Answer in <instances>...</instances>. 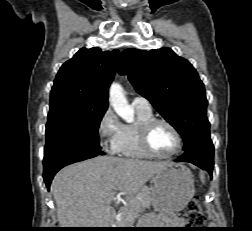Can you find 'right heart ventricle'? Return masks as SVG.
<instances>
[{
	"label": "right heart ventricle",
	"mask_w": 252,
	"mask_h": 231,
	"mask_svg": "<svg viewBox=\"0 0 252 231\" xmlns=\"http://www.w3.org/2000/svg\"><path fill=\"white\" fill-rule=\"evenodd\" d=\"M137 114V121L132 124L122 125L120 139L117 145V153L133 158H149L141 147L139 141V126L144 121L153 117L152 110L134 107Z\"/></svg>",
	"instance_id": "1"
}]
</instances>
